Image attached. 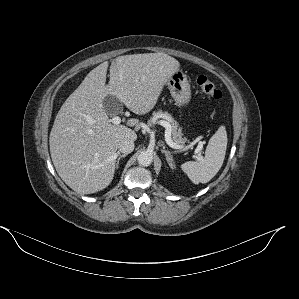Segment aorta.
<instances>
[{
	"mask_svg": "<svg viewBox=\"0 0 299 299\" xmlns=\"http://www.w3.org/2000/svg\"><path fill=\"white\" fill-rule=\"evenodd\" d=\"M137 160L141 166L147 167L152 163L153 155L149 151H142L138 155Z\"/></svg>",
	"mask_w": 299,
	"mask_h": 299,
	"instance_id": "1",
	"label": "aorta"
}]
</instances>
